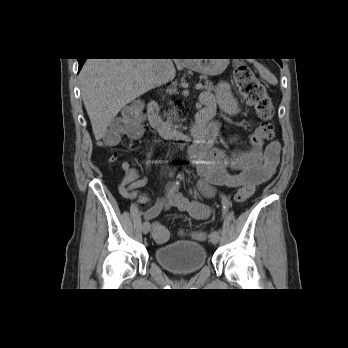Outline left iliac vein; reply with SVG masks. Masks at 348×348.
Returning <instances> with one entry per match:
<instances>
[{
  "label": "left iliac vein",
  "instance_id": "obj_1",
  "mask_svg": "<svg viewBox=\"0 0 348 348\" xmlns=\"http://www.w3.org/2000/svg\"><path fill=\"white\" fill-rule=\"evenodd\" d=\"M219 238H220V235H219V232L214 230L211 232L210 234V241L212 244H217L218 241H219Z\"/></svg>",
  "mask_w": 348,
  "mask_h": 348
}]
</instances>
